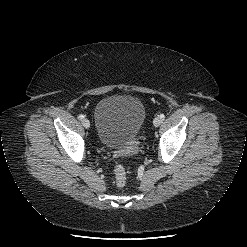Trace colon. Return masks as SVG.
Listing matches in <instances>:
<instances>
[{
	"mask_svg": "<svg viewBox=\"0 0 247 247\" xmlns=\"http://www.w3.org/2000/svg\"><path fill=\"white\" fill-rule=\"evenodd\" d=\"M113 172L117 186L123 187L126 184L127 180V173L125 167L120 163H116L113 168Z\"/></svg>",
	"mask_w": 247,
	"mask_h": 247,
	"instance_id": "colon-1",
	"label": "colon"
}]
</instances>
